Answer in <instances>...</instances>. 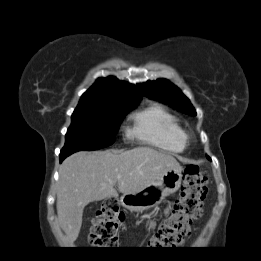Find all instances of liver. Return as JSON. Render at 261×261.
<instances>
[{
	"mask_svg": "<svg viewBox=\"0 0 261 261\" xmlns=\"http://www.w3.org/2000/svg\"><path fill=\"white\" fill-rule=\"evenodd\" d=\"M180 168L177 160L149 147L127 151L77 152L59 170L57 214L66 243L77 239L84 207L93 201L136 193L159 180L167 171Z\"/></svg>",
	"mask_w": 261,
	"mask_h": 261,
	"instance_id": "obj_1",
	"label": "liver"
}]
</instances>
